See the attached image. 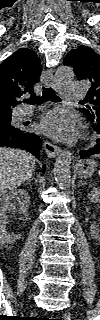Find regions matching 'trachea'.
<instances>
[{"label":"trachea","mask_w":100,"mask_h":320,"mask_svg":"<svg viewBox=\"0 0 100 320\" xmlns=\"http://www.w3.org/2000/svg\"><path fill=\"white\" fill-rule=\"evenodd\" d=\"M60 102L61 99L55 94L51 88H44L42 96L37 99L23 100L24 103L41 104L46 101Z\"/></svg>","instance_id":"3493384b"}]
</instances>
